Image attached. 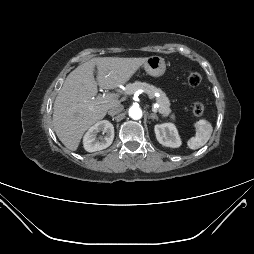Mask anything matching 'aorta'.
Returning <instances> with one entry per match:
<instances>
[{"label":"aorta","mask_w":254,"mask_h":254,"mask_svg":"<svg viewBox=\"0 0 254 254\" xmlns=\"http://www.w3.org/2000/svg\"><path fill=\"white\" fill-rule=\"evenodd\" d=\"M129 116L132 119H140L142 117V110L139 108V106H132L129 109Z\"/></svg>","instance_id":"1"}]
</instances>
